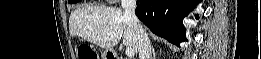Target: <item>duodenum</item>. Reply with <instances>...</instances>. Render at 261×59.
Here are the masks:
<instances>
[{
  "label": "duodenum",
  "instance_id": "1",
  "mask_svg": "<svg viewBox=\"0 0 261 59\" xmlns=\"http://www.w3.org/2000/svg\"><path fill=\"white\" fill-rule=\"evenodd\" d=\"M112 59H120V57L118 56H115L113 53H112V56H111Z\"/></svg>",
  "mask_w": 261,
  "mask_h": 59
}]
</instances>
